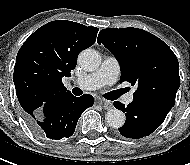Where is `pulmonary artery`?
Here are the masks:
<instances>
[{"label": "pulmonary artery", "instance_id": "pulmonary-artery-1", "mask_svg": "<svg viewBox=\"0 0 190 165\" xmlns=\"http://www.w3.org/2000/svg\"><path fill=\"white\" fill-rule=\"evenodd\" d=\"M120 75V64L114 57H107L103 60L101 66L93 73L87 76L77 78L75 83L86 90H94L106 84H113ZM134 97L132 93L125 96L124 102L130 104Z\"/></svg>", "mask_w": 190, "mask_h": 165}]
</instances>
